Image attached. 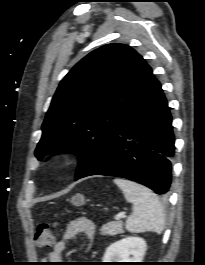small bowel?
I'll list each match as a JSON object with an SVG mask.
<instances>
[{"mask_svg": "<svg viewBox=\"0 0 205 265\" xmlns=\"http://www.w3.org/2000/svg\"><path fill=\"white\" fill-rule=\"evenodd\" d=\"M79 235L85 238V249L89 250L95 235V227L93 222L85 217L70 221L66 226L63 238L57 241L54 244L53 249L46 254L44 258L45 261H48V263L60 261L63 252L67 248L68 242Z\"/></svg>", "mask_w": 205, "mask_h": 265, "instance_id": "obj_1", "label": "small bowel"}]
</instances>
